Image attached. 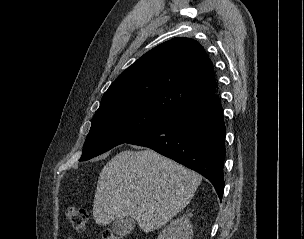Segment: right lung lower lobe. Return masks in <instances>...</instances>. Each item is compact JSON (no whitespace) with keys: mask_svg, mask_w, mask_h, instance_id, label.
Wrapping results in <instances>:
<instances>
[{"mask_svg":"<svg viewBox=\"0 0 304 239\" xmlns=\"http://www.w3.org/2000/svg\"><path fill=\"white\" fill-rule=\"evenodd\" d=\"M225 135L222 106L214 94L127 143L149 147L195 170L213 184L221 199Z\"/></svg>","mask_w":304,"mask_h":239,"instance_id":"1","label":"right lung lower lobe"}]
</instances>
